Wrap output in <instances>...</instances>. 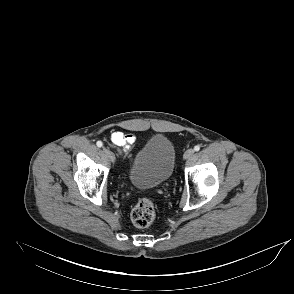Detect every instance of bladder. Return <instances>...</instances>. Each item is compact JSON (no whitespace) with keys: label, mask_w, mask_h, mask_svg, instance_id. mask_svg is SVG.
<instances>
[{"label":"bladder","mask_w":294,"mask_h":294,"mask_svg":"<svg viewBox=\"0 0 294 294\" xmlns=\"http://www.w3.org/2000/svg\"><path fill=\"white\" fill-rule=\"evenodd\" d=\"M176 150L164 134H155L138 151L130 170V181L137 188H154L166 182L174 170Z\"/></svg>","instance_id":"bladder-1"}]
</instances>
